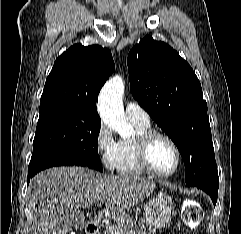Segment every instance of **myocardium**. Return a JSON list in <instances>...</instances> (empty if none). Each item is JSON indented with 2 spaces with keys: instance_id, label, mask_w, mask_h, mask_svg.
<instances>
[{
  "instance_id": "myocardium-1",
  "label": "myocardium",
  "mask_w": 241,
  "mask_h": 234,
  "mask_svg": "<svg viewBox=\"0 0 241 234\" xmlns=\"http://www.w3.org/2000/svg\"><path fill=\"white\" fill-rule=\"evenodd\" d=\"M157 138H163L168 141L176 153V164L174 168L169 172H160L156 170L151 164L149 155L150 147L153 141ZM137 153L139 162L144 170L149 174L160 178H167L174 175L180 168L182 162V153L178 143L169 134L158 130H148L138 137Z\"/></svg>"
}]
</instances>
